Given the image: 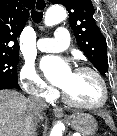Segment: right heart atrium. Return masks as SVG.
<instances>
[{
	"label": "right heart atrium",
	"instance_id": "obj_1",
	"mask_svg": "<svg viewBox=\"0 0 117 136\" xmlns=\"http://www.w3.org/2000/svg\"><path fill=\"white\" fill-rule=\"evenodd\" d=\"M22 88L31 97L51 100L55 97V91L47 85L41 75L31 63H26L20 73Z\"/></svg>",
	"mask_w": 117,
	"mask_h": 136
}]
</instances>
